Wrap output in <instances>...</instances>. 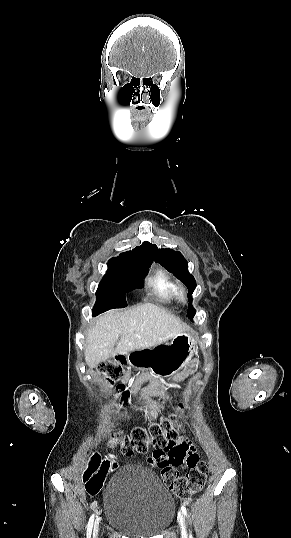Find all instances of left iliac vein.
I'll return each instance as SVG.
<instances>
[{
    "mask_svg": "<svg viewBox=\"0 0 291 538\" xmlns=\"http://www.w3.org/2000/svg\"><path fill=\"white\" fill-rule=\"evenodd\" d=\"M178 522L180 524L182 538H188L187 537V530H186V526H185V519H184V516H183L182 512L178 513Z\"/></svg>",
    "mask_w": 291,
    "mask_h": 538,
    "instance_id": "4c4485c4",
    "label": "left iliac vein"
}]
</instances>
